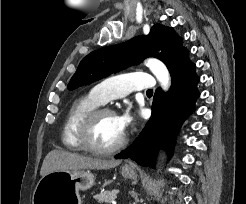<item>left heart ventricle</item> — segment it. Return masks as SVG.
Returning <instances> with one entry per match:
<instances>
[{
    "label": "left heart ventricle",
    "mask_w": 246,
    "mask_h": 204,
    "mask_svg": "<svg viewBox=\"0 0 246 204\" xmlns=\"http://www.w3.org/2000/svg\"><path fill=\"white\" fill-rule=\"evenodd\" d=\"M124 135L115 115L100 117L91 132L92 142L99 147H109L116 144Z\"/></svg>",
    "instance_id": "left-heart-ventricle-1"
}]
</instances>
